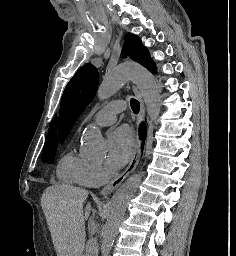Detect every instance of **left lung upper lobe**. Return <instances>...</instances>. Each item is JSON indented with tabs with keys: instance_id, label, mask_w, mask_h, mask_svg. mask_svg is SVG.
<instances>
[{
	"instance_id": "5c2ea615",
	"label": "left lung upper lobe",
	"mask_w": 236,
	"mask_h": 256,
	"mask_svg": "<svg viewBox=\"0 0 236 256\" xmlns=\"http://www.w3.org/2000/svg\"><path fill=\"white\" fill-rule=\"evenodd\" d=\"M123 53L152 73H156L155 64L148 50L136 35L129 33L126 36ZM98 81L97 69L91 64H85L67 84L62 96L59 113L60 143L64 142L74 122L94 98Z\"/></svg>"
}]
</instances>
